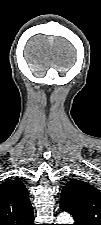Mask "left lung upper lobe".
Instances as JSON below:
<instances>
[{"mask_svg":"<svg viewBox=\"0 0 101 225\" xmlns=\"http://www.w3.org/2000/svg\"><path fill=\"white\" fill-rule=\"evenodd\" d=\"M60 207L75 222L101 225V193L87 182L70 180L61 191Z\"/></svg>","mask_w":101,"mask_h":225,"instance_id":"1","label":"left lung upper lobe"}]
</instances>
